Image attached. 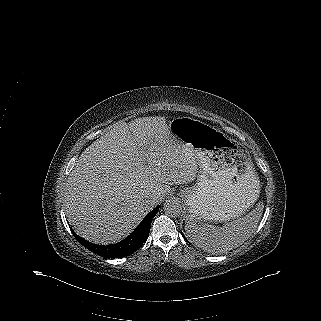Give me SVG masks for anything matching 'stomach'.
Instances as JSON below:
<instances>
[{
    "label": "stomach",
    "instance_id": "stomach-1",
    "mask_svg": "<svg viewBox=\"0 0 321 321\" xmlns=\"http://www.w3.org/2000/svg\"><path fill=\"white\" fill-rule=\"evenodd\" d=\"M168 128L190 149L200 168L196 185L179 192L188 221H229L250 209L259 195V180L245 150L222 131L194 118H175Z\"/></svg>",
    "mask_w": 321,
    "mask_h": 321
}]
</instances>
